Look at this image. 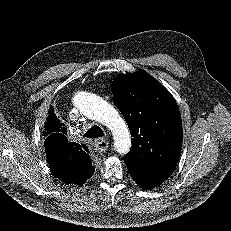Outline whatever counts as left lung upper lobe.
<instances>
[{
	"mask_svg": "<svg viewBox=\"0 0 231 231\" xmlns=\"http://www.w3.org/2000/svg\"><path fill=\"white\" fill-rule=\"evenodd\" d=\"M114 104L129 128L132 148L124 158L140 168L175 169L182 146L181 116L172 95L144 71L119 75L112 83Z\"/></svg>",
	"mask_w": 231,
	"mask_h": 231,
	"instance_id": "5c2ea615",
	"label": "left lung upper lobe"
}]
</instances>
